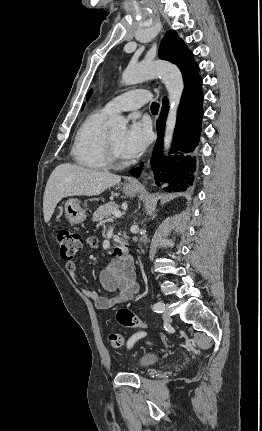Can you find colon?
<instances>
[{
    "instance_id": "colon-1",
    "label": "colon",
    "mask_w": 262,
    "mask_h": 431,
    "mask_svg": "<svg viewBox=\"0 0 262 431\" xmlns=\"http://www.w3.org/2000/svg\"><path fill=\"white\" fill-rule=\"evenodd\" d=\"M57 243L62 259L71 261L87 245H95L96 238H85L81 233L67 229L60 230L57 234ZM118 322L128 328H138L144 332L148 328L147 324L138 318L127 308H121L117 312ZM145 333V332H144ZM109 343L114 348L123 346L124 339L118 333H110L108 336Z\"/></svg>"
}]
</instances>
